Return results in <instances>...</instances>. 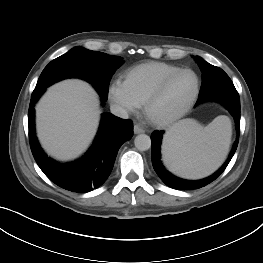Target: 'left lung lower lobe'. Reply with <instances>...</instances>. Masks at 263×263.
Wrapping results in <instances>:
<instances>
[{
    "label": "left lung lower lobe",
    "mask_w": 263,
    "mask_h": 263,
    "mask_svg": "<svg viewBox=\"0 0 263 263\" xmlns=\"http://www.w3.org/2000/svg\"><path fill=\"white\" fill-rule=\"evenodd\" d=\"M201 70L203 72V77L210 78L215 74L216 69L213 67L207 66V67H202ZM206 101L220 102L233 115L235 122H236L237 138L232 148V151L227 161L213 175L205 179L197 180V181L180 179L172 175L170 172H168L164 168L160 160V143H161L162 134L164 133V131H154L151 135L152 165L157 175L160 177V179L167 186L171 188L178 189V190H191V189H198V188L206 186L207 184L211 183L217 177L220 176V174L225 170V168L229 164L230 160L232 159L237 149L239 134H240V99H239L238 92L236 91L235 88L211 90V91L206 92L203 95H200L196 102V105L202 102H206Z\"/></svg>",
    "instance_id": "obj_1"
}]
</instances>
